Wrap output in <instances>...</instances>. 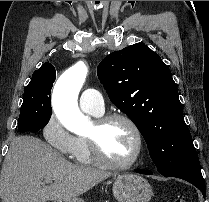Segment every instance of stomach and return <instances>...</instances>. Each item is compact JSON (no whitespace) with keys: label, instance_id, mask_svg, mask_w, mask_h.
Segmentation results:
<instances>
[{"label":"stomach","instance_id":"0dacf381","mask_svg":"<svg viewBox=\"0 0 209 202\" xmlns=\"http://www.w3.org/2000/svg\"><path fill=\"white\" fill-rule=\"evenodd\" d=\"M113 195L118 202H149L153 192L146 179L135 174H122L115 178L112 187ZM55 202H84L82 199L66 198Z\"/></svg>","mask_w":209,"mask_h":202}]
</instances>
